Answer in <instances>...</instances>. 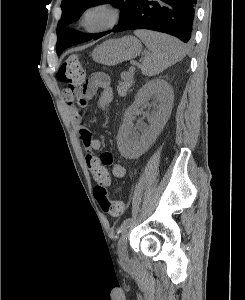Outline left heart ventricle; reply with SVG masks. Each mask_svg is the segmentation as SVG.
Segmentation results:
<instances>
[{
  "label": "left heart ventricle",
  "instance_id": "left-heart-ventricle-1",
  "mask_svg": "<svg viewBox=\"0 0 245 300\" xmlns=\"http://www.w3.org/2000/svg\"><path fill=\"white\" fill-rule=\"evenodd\" d=\"M107 20V16L104 12L102 11H96L91 13L88 18H87V24L90 27H97L105 23Z\"/></svg>",
  "mask_w": 245,
  "mask_h": 300
}]
</instances>
